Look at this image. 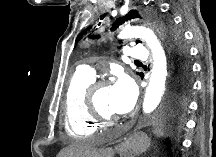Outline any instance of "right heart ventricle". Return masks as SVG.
Returning a JSON list of instances; mask_svg holds the SVG:
<instances>
[{"instance_id": "right-heart-ventricle-1", "label": "right heart ventricle", "mask_w": 216, "mask_h": 157, "mask_svg": "<svg viewBox=\"0 0 216 157\" xmlns=\"http://www.w3.org/2000/svg\"><path fill=\"white\" fill-rule=\"evenodd\" d=\"M93 78L72 73L63 97V127L72 137H86L95 133L98 123L91 117L86 92Z\"/></svg>"}]
</instances>
